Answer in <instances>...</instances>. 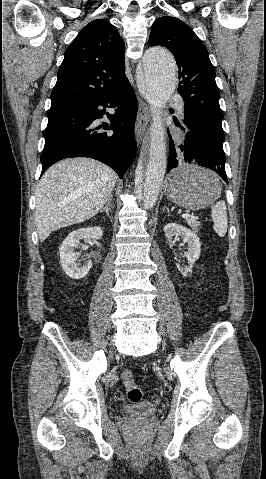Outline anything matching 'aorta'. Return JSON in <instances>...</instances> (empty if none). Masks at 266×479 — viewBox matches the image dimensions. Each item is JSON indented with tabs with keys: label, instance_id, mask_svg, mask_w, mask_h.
<instances>
[{
	"label": "aorta",
	"instance_id": "aorta-1",
	"mask_svg": "<svg viewBox=\"0 0 266 479\" xmlns=\"http://www.w3.org/2000/svg\"><path fill=\"white\" fill-rule=\"evenodd\" d=\"M175 81L176 64L172 55L160 47L146 50L141 64L140 89L151 105L153 123L150 127L148 159L137 176L146 209L155 206L167 167L162 109L175 90Z\"/></svg>",
	"mask_w": 266,
	"mask_h": 479
}]
</instances>
